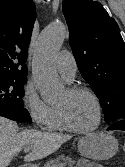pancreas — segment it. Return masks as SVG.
Wrapping results in <instances>:
<instances>
[{"label":"pancreas","mask_w":125,"mask_h":167,"mask_svg":"<svg viewBox=\"0 0 125 167\" xmlns=\"http://www.w3.org/2000/svg\"><path fill=\"white\" fill-rule=\"evenodd\" d=\"M62 162L65 163L66 165H69L70 167H73V165L75 164V161L72 160L71 157L62 155L48 161L43 167H56Z\"/></svg>","instance_id":"pancreas-1"}]
</instances>
